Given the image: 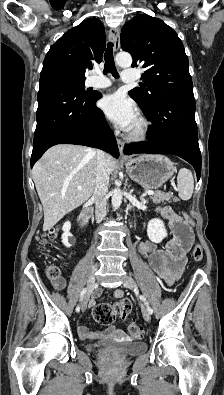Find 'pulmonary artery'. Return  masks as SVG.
<instances>
[{
  "instance_id": "e3ab8cb5",
  "label": "pulmonary artery",
  "mask_w": 224,
  "mask_h": 395,
  "mask_svg": "<svg viewBox=\"0 0 224 395\" xmlns=\"http://www.w3.org/2000/svg\"><path fill=\"white\" fill-rule=\"evenodd\" d=\"M136 80V71L133 69H127L122 72V81L129 83ZM111 85V82L106 77L98 75L94 77L90 82L89 86L93 88H106Z\"/></svg>"
}]
</instances>
